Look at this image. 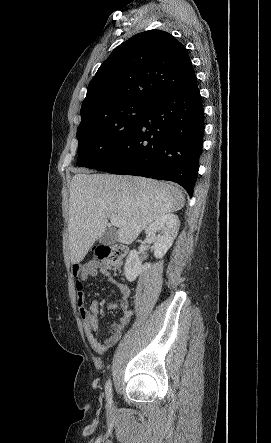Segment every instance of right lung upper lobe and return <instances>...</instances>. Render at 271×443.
I'll use <instances>...</instances> for the list:
<instances>
[{
    "instance_id": "right-lung-upper-lobe-1",
    "label": "right lung upper lobe",
    "mask_w": 271,
    "mask_h": 443,
    "mask_svg": "<svg viewBox=\"0 0 271 443\" xmlns=\"http://www.w3.org/2000/svg\"><path fill=\"white\" fill-rule=\"evenodd\" d=\"M195 81L186 48L171 34L161 30L136 34L99 67L82 102L81 121L126 101L150 103Z\"/></svg>"
}]
</instances>
